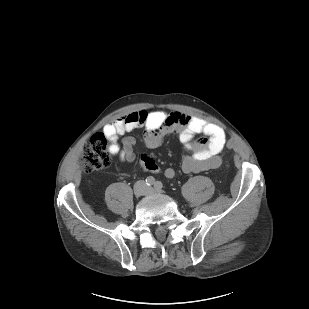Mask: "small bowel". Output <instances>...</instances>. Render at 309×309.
<instances>
[{
  "instance_id": "c3829d8e",
  "label": "small bowel",
  "mask_w": 309,
  "mask_h": 309,
  "mask_svg": "<svg viewBox=\"0 0 309 309\" xmlns=\"http://www.w3.org/2000/svg\"><path fill=\"white\" fill-rule=\"evenodd\" d=\"M138 128L145 129L144 142L149 148H156L165 137L177 134L181 144L191 151V154L185 156L181 162V169L185 173L216 169L222 163L220 154L224 149L226 136L220 126L197 116L159 110L134 111L106 124L103 134L109 140L110 154L118 156L122 161L134 162L136 159L133 151L135 139L132 136H124L122 145H120L118 137ZM196 135H202V137L195 140ZM141 163L146 171L160 172L159 166L150 157H142ZM164 175L167 178H173L175 170L166 168Z\"/></svg>"
}]
</instances>
